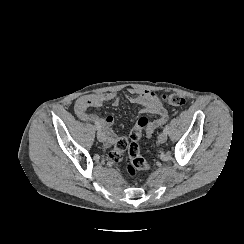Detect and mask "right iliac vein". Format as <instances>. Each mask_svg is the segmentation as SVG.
<instances>
[{
  "mask_svg": "<svg viewBox=\"0 0 244 244\" xmlns=\"http://www.w3.org/2000/svg\"><path fill=\"white\" fill-rule=\"evenodd\" d=\"M97 138L100 142H105L106 141V135L103 131H98L97 132Z\"/></svg>",
  "mask_w": 244,
  "mask_h": 244,
  "instance_id": "obj_1",
  "label": "right iliac vein"
}]
</instances>
